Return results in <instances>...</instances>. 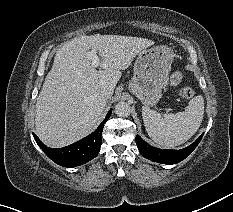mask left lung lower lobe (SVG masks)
Listing matches in <instances>:
<instances>
[{"label":"left lung lower lobe","instance_id":"0a47b994","mask_svg":"<svg viewBox=\"0 0 233 212\" xmlns=\"http://www.w3.org/2000/svg\"><path fill=\"white\" fill-rule=\"evenodd\" d=\"M203 134L191 145L180 150L158 149L148 145L140 136H136V143L140 153L147 159L162 164H175L184 160L196 148Z\"/></svg>","mask_w":233,"mask_h":212}]
</instances>
